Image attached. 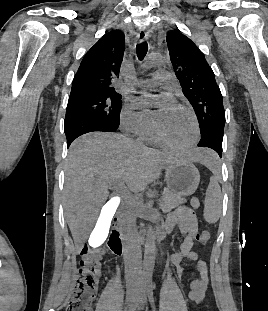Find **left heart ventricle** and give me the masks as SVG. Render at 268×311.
Here are the masks:
<instances>
[{
	"instance_id": "obj_1",
	"label": "left heart ventricle",
	"mask_w": 268,
	"mask_h": 311,
	"mask_svg": "<svg viewBox=\"0 0 268 311\" xmlns=\"http://www.w3.org/2000/svg\"><path fill=\"white\" fill-rule=\"evenodd\" d=\"M161 135L170 142L184 144L193 136V123L190 116L178 107L157 117Z\"/></svg>"
}]
</instances>
